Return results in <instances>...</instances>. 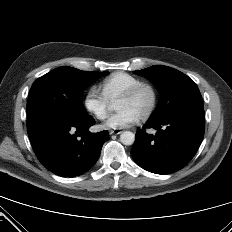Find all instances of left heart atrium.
Here are the masks:
<instances>
[{
    "label": "left heart atrium",
    "mask_w": 232,
    "mask_h": 232,
    "mask_svg": "<svg viewBox=\"0 0 232 232\" xmlns=\"http://www.w3.org/2000/svg\"><path fill=\"white\" fill-rule=\"evenodd\" d=\"M140 116L129 109H120L114 113L104 124L105 129H122L133 125Z\"/></svg>",
    "instance_id": "obj_1"
}]
</instances>
